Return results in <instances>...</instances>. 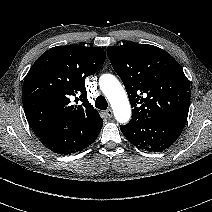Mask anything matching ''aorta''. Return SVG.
Wrapping results in <instances>:
<instances>
[{
  "label": "aorta",
  "instance_id": "1",
  "mask_svg": "<svg viewBox=\"0 0 212 212\" xmlns=\"http://www.w3.org/2000/svg\"><path fill=\"white\" fill-rule=\"evenodd\" d=\"M99 87L110 102L116 120L119 123H127L131 117V107L119 80L112 74H102Z\"/></svg>",
  "mask_w": 212,
  "mask_h": 212
}]
</instances>
